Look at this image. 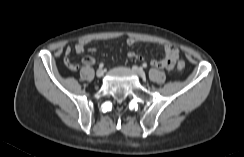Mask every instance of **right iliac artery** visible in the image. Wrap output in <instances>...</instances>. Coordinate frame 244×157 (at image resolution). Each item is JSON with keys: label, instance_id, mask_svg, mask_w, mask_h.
Here are the masks:
<instances>
[{"label": "right iliac artery", "instance_id": "right-iliac-artery-1", "mask_svg": "<svg viewBox=\"0 0 244 157\" xmlns=\"http://www.w3.org/2000/svg\"><path fill=\"white\" fill-rule=\"evenodd\" d=\"M104 67V64L103 63H100L99 64V68H103Z\"/></svg>", "mask_w": 244, "mask_h": 157}]
</instances>
